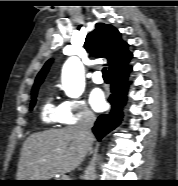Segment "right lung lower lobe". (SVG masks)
Returning <instances> with one entry per match:
<instances>
[{
	"instance_id": "1",
	"label": "right lung lower lobe",
	"mask_w": 178,
	"mask_h": 186,
	"mask_svg": "<svg viewBox=\"0 0 178 186\" xmlns=\"http://www.w3.org/2000/svg\"><path fill=\"white\" fill-rule=\"evenodd\" d=\"M131 71L132 67L128 63L109 71L111 95L108 101L111 104V110L107 114L100 115L92 128L98 140H101L121 123L123 117L122 108L127 100L128 77Z\"/></svg>"
}]
</instances>
